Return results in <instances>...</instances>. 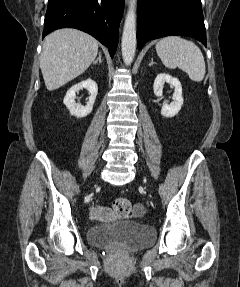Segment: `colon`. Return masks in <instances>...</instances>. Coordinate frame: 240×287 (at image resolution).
I'll use <instances>...</instances> for the list:
<instances>
[{
    "label": "colon",
    "instance_id": "colon-1",
    "mask_svg": "<svg viewBox=\"0 0 240 287\" xmlns=\"http://www.w3.org/2000/svg\"><path fill=\"white\" fill-rule=\"evenodd\" d=\"M112 211L117 217H126L132 211L131 202L126 198H116L112 204Z\"/></svg>",
    "mask_w": 240,
    "mask_h": 287
}]
</instances>
